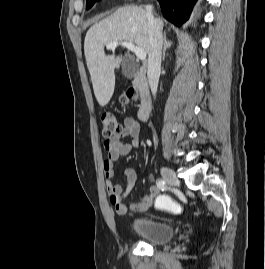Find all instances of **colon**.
Returning a JSON list of instances; mask_svg holds the SVG:
<instances>
[{"instance_id": "5ec220e1", "label": "colon", "mask_w": 265, "mask_h": 269, "mask_svg": "<svg viewBox=\"0 0 265 269\" xmlns=\"http://www.w3.org/2000/svg\"><path fill=\"white\" fill-rule=\"evenodd\" d=\"M136 97V91L129 89L127 93L122 97L123 103H129ZM102 122V135L104 139L111 140L118 137L122 133V125L116 116L112 113H104L101 116ZM156 207L160 210L180 213L182 208L181 205L169 196L161 195L156 200Z\"/></svg>"}]
</instances>
